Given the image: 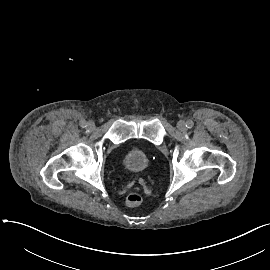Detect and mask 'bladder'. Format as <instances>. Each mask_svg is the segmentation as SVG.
I'll return each mask as SVG.
<instances>
[{
    "mask_svg": "<svg viewBox=\"0 0 270 270\" xmlns=\"http://www.w3.org/2000/svg\"><path fill=\"white\" fill-rule=\"evenodd\" d=\"M124 152V163L129 170L134 172L143 170L148 160L153 156V152L150 149L143 148L136 141L127 145Z\"/></svg>",
    "mask_w": 270,
    "mask_h": 270,
    "instance_id": "31cf9c89",
    "label": "bladder"
}]
</instances>
